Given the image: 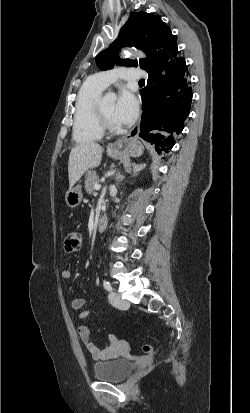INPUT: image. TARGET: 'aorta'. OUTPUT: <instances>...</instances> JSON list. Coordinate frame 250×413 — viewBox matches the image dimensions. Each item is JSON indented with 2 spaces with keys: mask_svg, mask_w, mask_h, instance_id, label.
<instances>
[{
  "mask_svg": "<svg viewBox=\"0 0 250 413\" xmlns=\"http://www.w3.org/2000/svg\"><path fill=\"white\" fill-rule=\"evenodd\" d=\"M124 56L125 57L137 56V57H142V58L146 57V55L142 51L125 52ZM105 99L109 101H114L116 99V96L114 93L109 92L106 94Z\"/></svg>",
  "mask_w": 250,
  "mask_h": 413,
  "instance_id": "1",
  "label": "aorta"
}]
</instances>
